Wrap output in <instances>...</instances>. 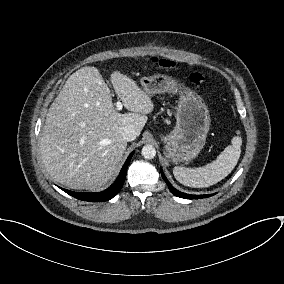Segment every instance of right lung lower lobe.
<instances>
[{
	"label": "right lung lower lobe",
	"mask_w": 284,
	"mask_h": 284,
	"mask_svg": "<svg viewBox=\"0 0 284 284\" xmlns=\"http://www.w3.org/2000/svg\"><path fill=\"white\" fill-rule=\"evenodd\" d=\"M133 156V152L129 155L127 158L125 164L123 165L120 174L118 175V178L115 180V182L106 190L102 192H96V193H81V192H73L70 190L62 189L67 194L73 196L74 198H77L79 200L83 201H89V202H101V201H107L113 198L119 190L122 188L125 178H126V172L127 167L129 165V162Z\"/></svg>",
	"instance_id": "1"
}]
</instances>
